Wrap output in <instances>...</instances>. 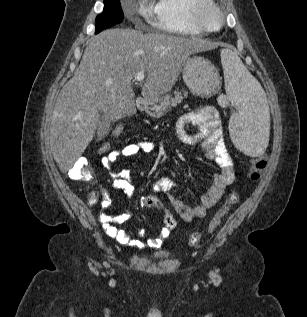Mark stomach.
<instances>
[{
  "instance_id": "stomach-1",
  "label": "stomach",
  "mask_w": 307,
  "mask_h": 317,
  "mask_svg": "<svg viewBox=\"0 0 307 317\" xmlns=\"http://www.w3.org/2000/svg\"><path fill=\"white\" fill-rule=\"evenodd\" d=\"M182 74L185 84L194 95L209 96L219 90L220 80L217 70L202 56L188 57L183 64ZM167 103L168 97L146 101L145 111L154 118H160L166 113L163 106Z\"/></svg>"
}]
</instances>
